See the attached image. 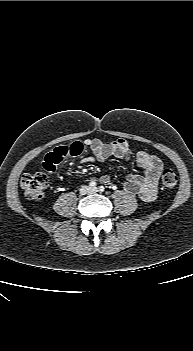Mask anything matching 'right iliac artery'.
I'll list each match as a JSON object with an SVG mask.
<instances>
[{
	"mask_svg": "<svg viewBox=\"0 0 193 351\" xmlns=\"http://www.w3.org/2000/svg\"><path fill=\"white\" fill-rule=\"evenodd\" d=\"M89 185H90L91 187H95L97 184H96L95 181H91V182L89 183Z\"/></svg>",
	"mask_w": 193,
	"mask_h": 351,
	"instance_id": "1",
	"label": "right iliac artery"
}]
</instances>
